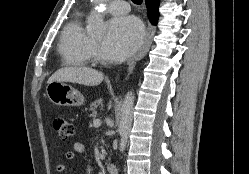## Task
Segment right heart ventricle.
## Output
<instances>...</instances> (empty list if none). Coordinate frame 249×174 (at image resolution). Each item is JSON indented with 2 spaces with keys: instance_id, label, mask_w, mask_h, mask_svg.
<instances>
[{
  "instance_id": "obj_1",
  "label": "right heart ventricle",
  "mask_w": 249,
  "mask_h": 174,
  "mask_svg": "<svg viewBox=\"0 0 249 174\" xmlns=\"http://www.w3.org/2000/svg\"><path fill=\"white\" fill-rule=\"evenodd\" d=\"M92 40L86 32L81 15H76L63 29L59 53L65 64L86 66L91 60Z\"/></svg>"
}]
</instances>
